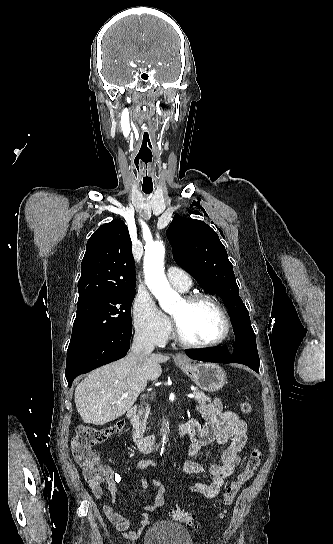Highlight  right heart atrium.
Returning <instances> with one entry per match:
<instances>
[{
	"label": "right heart atrium",
	"mask_w": 333,
	"mask_h": 544,
	"mask_svg": "<svg viewBox=\"0 0 333 544\" xmlns=\"http://www.w3.org/2000/svg\"><path fill=\"white\" fill-rule=\"evenodd\" d=\"M133 325L136 334L143 340L164 343L171 332L169 319L158 309L148 293H138L132 306Z\"/></svg>",
	"instance_id": "1"
}]
</instances>
